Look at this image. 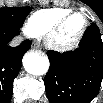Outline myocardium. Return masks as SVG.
<instances>
[{
    "instance_id": "obj_1",
    "label": "myocardium",
    "mask_w": 103,
    "mask_h": 103,
    "mask_svg": "<svg viewBox=\"0 0 103 103\" xmlns=\"http://www.w3.org/2000/svg\"><path fill=\"white\" fill-rule=\"evenodd\" d=\"M76 15H81L84 18V25L81 31L75 36L73 39L69 41H60L58 40V36L65 26V24ZM89 22L87 16L81 11H72L68 12L67 14L60 17L56 20L52 26L48 29L47 33L45 34V43L46 45L56 51H67L74 48L83 38L85 35Z\"/></svg>"
}]
</instances>
